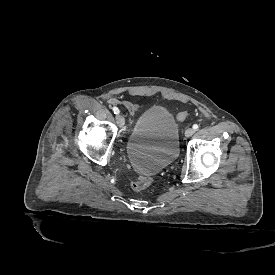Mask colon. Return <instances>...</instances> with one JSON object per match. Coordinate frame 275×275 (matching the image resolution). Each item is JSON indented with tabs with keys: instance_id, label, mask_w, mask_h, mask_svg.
Instances as JSON below:
<instances>
[{
	"instance_id": "colon-1",
	"label": "colon",
	"mask_w": 275,
	"mask_h": 275,
	"mask_svg": "<svg viewBox=\"0 0 275 275\" xmlns=\"http://www.w3.org/2000/svg\"><path fill=\"white\" fill-rule=\"evenodd\" d=\"M189 116L188 111H182L178 114V119L187 118ZM151 184V178L148 175H141L137 177L131 184V187L134 191L140 192L148 188Z\"/></svg>"
}]
</instances>
